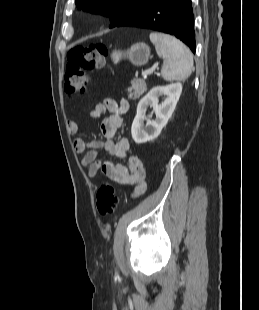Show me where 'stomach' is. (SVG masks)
Instances as JSON below:
<instances>
[{"label":"stomach","mask_w":259,"mask_h":310,"mask_svg":"<svg viewBox=\"0 0 259 310\" xmlns=\"http://www.w3.org/2000/svg\"><path fill=\"white\" fill-rule=\"evenodd\" d=\"M150 57V48L145 43H136L127 51H114L112 61L117 64L123 58L129 59L134 66L145 65Z\"/></svg>","instance_id":"1"}]
</instances>
